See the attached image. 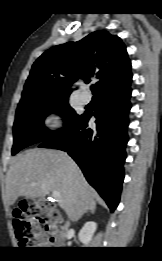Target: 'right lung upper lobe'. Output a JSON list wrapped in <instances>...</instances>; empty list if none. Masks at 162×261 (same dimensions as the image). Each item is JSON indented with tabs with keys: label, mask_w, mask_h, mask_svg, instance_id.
I'll use <instances>...</instances> for the list:
<instances>
[{
	"label": "right lung upper lobe",
	"mask_w": 162,
	"mask_h": 261,
	"mask_svg": "<svg viewBox=\"0 0 162 261\" xmlns=\"http://www.w3.org/2000/svg\"><path fill=\"white\" fill-rule=\"evenodd\" d=\"M97 78L99 95L131 83V62L122 40L105 30L57 45L33 64L21 101L34 96H69L78 79Z\"/></svg>",
	"instance_id": "obj_1"
}]
</instances>
